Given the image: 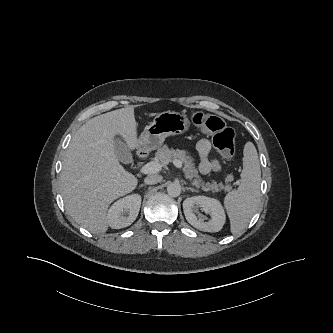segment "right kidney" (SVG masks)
Masks as SVG:
<instances>
[{
  "mask_svg": "<svg viewBox=\"0 0 333 333\" xmlns=\"http://www.w3.org/2000/svg\"><path fill=\"white\" fill-rule=\"evenodd\" d=\"M141 196L128 195L115 202L107 213V221L111 228L121 229L131 225L138 216Z\"/></svg>",
  "mask_w": 333,
  "mask_h": 333,
  "instance_id": "ca27d5eb",
  "label": "right kidney"
}]
</instances>
